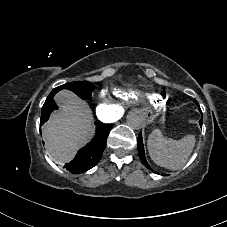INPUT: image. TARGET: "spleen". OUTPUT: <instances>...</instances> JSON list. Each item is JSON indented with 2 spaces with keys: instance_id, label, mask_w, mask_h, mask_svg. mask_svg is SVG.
<instances>
[{
  "instance_id": "3e777b00",
  "label": "spleen",
  "mask_w": 227,
  "mask_h": 227,
  "mask_svg": "<svg viewBox=\"0 0 227 227\" xmlns=\"http://www.w3.org/2000/svg\"><path fill=\"white\" fill-rule=\"evenodd\" d=\"M195 142V136L192 134L180 140H173L165 138L159 129H155L149 135L147 147L155 164L170 170H178L185 165Z\"/></svg>"
}]
</instances>
